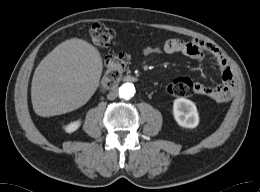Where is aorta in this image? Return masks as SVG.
Wrapping results in <instances>:
<instances>
[{"mask_svg": "<svg viewBox=\"0 0 260 192\" xmlns=\"http://www.w3.org/2000/svg\"><path fill=\"white\" fill-rule=\"evenodd\" d=\"M135 95V87L131 83H124L119 88V96L129 100Z\"/></svg>", "mask_w": 260, "mask_h": 192, "instance_id": "aorta-1", "label": "aorta"}]
</instances>
